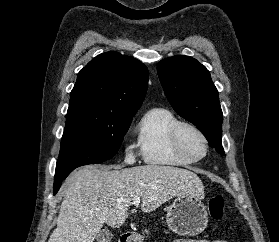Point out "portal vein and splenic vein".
<instances>
[{
    "instance_id": "1",
    "label": "portal vein and splenic vein",
    "mask_w": 279,
    "mask_h": 242,
    "mask_svg": "<svg viewBox=\"0 0 279 242\" xmlns=\"http://www.w3.org/2000/svg\"><path fill=\"white\" fill-rule=\"evenodd\" d=\"M132 203L134 206H138L140 203V197H134Z\"/></svg>"
}]
</instances>
